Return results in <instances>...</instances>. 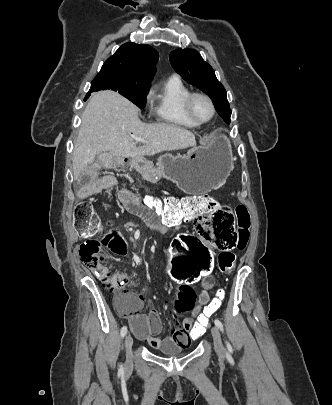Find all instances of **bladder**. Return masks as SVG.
I'll return each mask as SVG.
<instances>
[{
	"mask_svg": "<svg viewBox=\"0 0 332 405\" xmlns=\"http://www.w3.org/2000/svg\"><path fill=\"white\" fill-rule=\"evenodd\" d=\"M162 354L167 356H178L182 354V349L180 348H171L168 350L161 351Z\"/></svg>",
	"mask_w": 332,
	"mask_h": 405,
	"instance_id": "obj_1",
	"label": "bladder"
}]
</instances>
